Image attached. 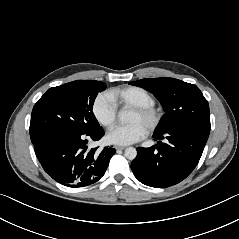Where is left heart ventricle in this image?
I'll list each match as a JSON object with an SVG mask.
<instances>
[{
    "label": "left heart ventricle",
    "mask_w": 239,
    "mask_h": 239,
    "mask_svg": "<svg viewBox=\"0 0 239 239\" xmlns=\"http://www.w3.org/2000/svg\"><path fill=\"white\" fill-rule=\"evenodd\" d=\"M129 122L130 123H140L143 126H145L146 128L148 127V124H149L148 119L145 116L137 113L136 111H132L130 118H129Z\"/></svg>",
    "instance_id": "left-heart-ventricle-1"
}]
</instances>
